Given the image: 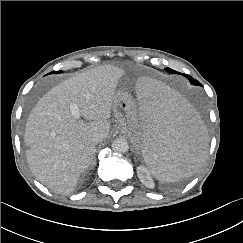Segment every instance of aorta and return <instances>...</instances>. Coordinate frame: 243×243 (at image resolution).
Returning a JSON list of instances; mask_svg holds the SVG:
<instances>
[{
	"instance_id": "obj_1",
	"label": "aorta",
	"mask_w": 243,
	"mask_h": 243,
	"mask_svg": "<svg viewBox=\"0 0 243 243\" xmlns=\"http://www.w3.org/2000/svg\"><path fill=\"white\" fill-rule=\"evenodd\" d=\"M112 149L115 152L125 153L129 150V144L126 139L117 138L112 143Z\"/></svg>"
}]
</instances>
